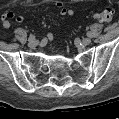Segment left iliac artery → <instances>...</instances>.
I'll return each instance as SVG.
<instances>
[{"mask_svg": "<svg viewBox=\"0 0 119 119\" xmlns=\"http://www.w3.org/2000/svg\"><path fill=\"white\" fill-rule=\"evenodd\" d=\"M87 36L91 37L92 36L91 32H88L87 33Z\"/></svg>", "mask_w": 119, "mask_h": 119, "instance_id": "1", "label": "left iliac artery"}]
</instances>
